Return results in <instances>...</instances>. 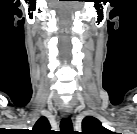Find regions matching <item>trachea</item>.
Listing matches in <instances>:
<instances>
[{"label": "trachea", "instance_id": "obj_1", "mask_svg": "<svg viewBox=\"0 0 137 134\" xmlns=\"http://www.w3.org/2000/svg\"><path fill=\"white\" fill-rule=\"evenodd\" d=\"M61 132H71L72 131V122L70 118H63L60 123Z\"/></svg>", "mask_w": 137, "mask_h": 134}]
</instances>
